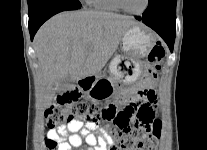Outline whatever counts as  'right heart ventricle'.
<instances>
[{
	"mask_svg": "<svg viewBox=\"0 0 207 150\" xmlns=\"http://www.w3.org/2000/svg\"><path fill=\"white\" fill-rule=\"evenodd\" d=\"M88 4L97 10L108 11V12H120L121 9L118 7L114 0H87Z\"/></svg>",
	"mask_w": 207,
	"mask_h": 150,
	"instance_id": "e07e8e85",
	"label": "right heart ventricle"
}]
</instances>
